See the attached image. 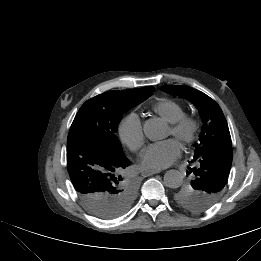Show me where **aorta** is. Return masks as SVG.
<instances>
[{
    "label": "aorta",
    "mask_w": 261,
    "mask_h": 261,
    "mask_svg": "<svg viewBox=\"0 0 261 261\" xmlns=\"http://www.w3.org/2000/svg\"><path fill=\"white\" fill-rule=\"evenodd\" d=\"M144 133L150 140H158L163 136L165 126L157 119H149L144 124ZM183 180L182 174L178 170H169L164 175V184L172 189L181 186Z\"/></svg>",
    "instance_id": "obj_1"
}]
</instances>
